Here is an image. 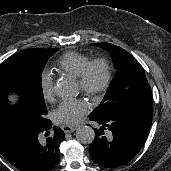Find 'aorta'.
I'll return each instance as SVG.
<instances>
[{"mask_svg":"<svg viewBox=\"0 0 171 171\" xmlns=\"http://www.w3.org/2000/svg\"><path fill=\"white\" fill-rule=\"evenodd\" d=\"M54 90L56 95L62 98L73 97L77 94L74 82L67 79L57 81ZM94 138L95 132L90 126L79 127L76 131V139L82 144H90Z\"/></svg>","mask_w":171,"mask_h":171,"instance_id":"762f6f07","label":"aorta"}]
</instances>
